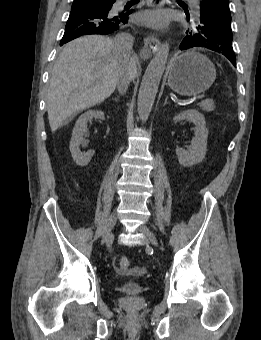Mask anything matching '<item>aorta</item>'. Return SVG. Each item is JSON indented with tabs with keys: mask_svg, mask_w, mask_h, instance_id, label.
I'll use <instances>...</instances> for the list:
<instances>
[{
	"mask_svg": "<svg viewBox=\"0 0 261 340\" xmlns=\"http://www.w3.org/2000/svg\"><path fill=\"white\" fill-rule=\"evenodd\" d=\"M169 48L168 42L161 45L142 78L137 99V111L142 122H146L150 115L165 70Z\"/></svg>",
	"mask_w": 261,
	"mask_h": 340,
	"instance_id": "762f6f07",
	"label": "aorta"
}]
</instances>
